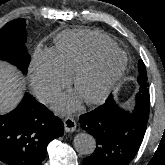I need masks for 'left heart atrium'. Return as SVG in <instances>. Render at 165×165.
<instances>
[{
    "instance_id": "left-heart-atrium-1",
    "label": "left heart atrium",
    "mask_w": 165,
    "mask_h": 165,
    "mask_svg": "<svg viewBox=\"0 0 165 165\" xmlns=\"http://www.w3.org/2000/svg\"><path fill=\"white\" fill-rule=\"evenodd\" d=\"M79 103L80 97L78 95L67 94L58 99L56 108L60 112L70 113L79 107Z\"/></svg>"
}]
</instances>
